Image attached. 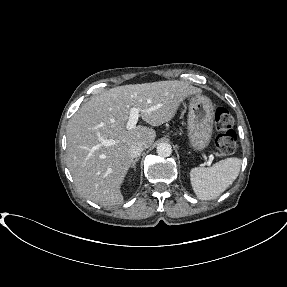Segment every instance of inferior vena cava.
Here are the masks:
<instances>
[{"label": "inferior vena cava", "mask_w": 287, "mask_h": 287, "mask_svg": "<svg viewBox=\"0 0 287 287\" xmlns=\"http://www.w3.org/2000/svg\"><path fill=\"white\" fill-rule=\"evenodd\" d=\"M145 149L144 145L142 143H134L131 145L129 149L130 156L132 158H137L141 155L142 151Z\"/></svg>", "instance_id": "602c4592"}]
</instances>
